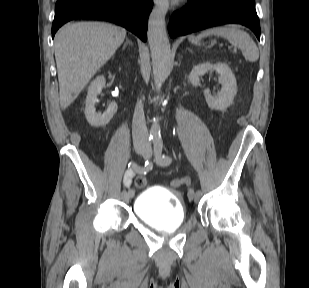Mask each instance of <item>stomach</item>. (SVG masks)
Here are the masks:
<instances>
[{"mask_svg": "<svg viewBox=\"0 0 309 288\" xmlns=\"http://www.w3.org/2000/svg\"><path fill=\"white\" fill-rule=\"evenodd\" d=\"M190 41H191L192 43H195V44H198V43H199V39H196V38H194V37H190Z\"/></svg>", "mask_w": 309, "mask_h": 288, "instance_id": "stomach-1", "label": "stomach"}]
</instances>
